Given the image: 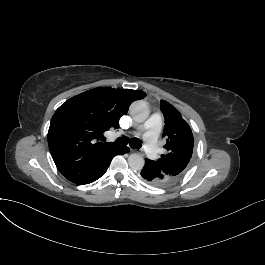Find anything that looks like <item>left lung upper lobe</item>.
I'll return each instance as SVG.
<instances>
[{"label":"left lung upper lobe","instance_id":"1","mask_svg":"<svg viewBox=\"0 0 265 265\" xmlns=\"http://www.w3.org/2000/svg\"><path fill=\"white\" fill-rule=\"evenodd\" d=\"M160 103L165 119L163 137L166 138L164 147L167 154L151 162L174 183L187 171L193 153L194 139L190 126L179 111L165 100H161Z\"/></svg>","mask_w":265,"mask_h":265}]
</instances>
